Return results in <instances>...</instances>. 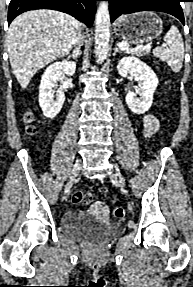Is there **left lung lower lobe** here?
Returning <instances> with one entry per match:
<instances>
[{
	"label": "left lung lower lobe",
	"instance_id": "0a47b994",
	"mask_svg": "<svg viewBox=\"0 0 193 287\" xmlns=\"http://www.w3.org/2000/svg\"><path fill=\"white\" fill-rule=\"evenodd\" d=\"M110 3V17L113 22L121 14L139 11H160L171 14L183 24L184 15L180 6L181 0H107Z\"/></svg>",
	"mask_w": 193,
	"mask_h": 287
}]
</instances>
